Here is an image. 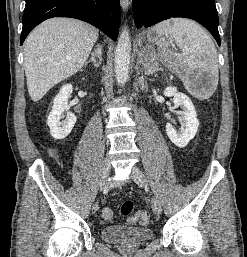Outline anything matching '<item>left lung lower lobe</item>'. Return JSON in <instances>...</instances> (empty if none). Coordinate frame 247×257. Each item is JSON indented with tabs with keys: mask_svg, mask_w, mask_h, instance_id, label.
<instances>
[{
	"mask_svg": "<svg viewBox=\"0 0 247 257\" xmlns=\"http://www.w3.org/2000/svg\"><path fill=\"white\" fill-rule=\"evenodd\" d=\"M133 14L138 28L175 17L193 19L208 29L220 46L215 0H133Z\"/></svg>",
	"mask_w": 247,
	"mask_h": 257,
	"instance_id": "obj_1",
	"label": "left lung lower lobe"
}]
</instances>
